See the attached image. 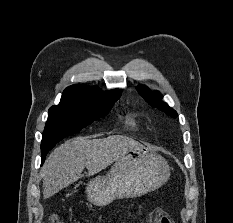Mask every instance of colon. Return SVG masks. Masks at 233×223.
<instances>
[{
  "mask_svg": "<svg viewBox=\"0 0 233 223\" xmlns=\"http://www.w3.org/2000/svg\"><path fill=\"white\" fill-rule=\"evenodd\" d=\"M154 222L155 223H174V220L166 212L162 210L154 211ZM49 223H60L57 215H52L49 220Z\"/></svg>",
  "mask_w": 233,
  "mask_h": 223,
  "instance_id": "5ec220e1",
  "label": "colon"
}]
</instances>
